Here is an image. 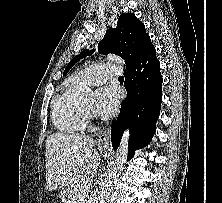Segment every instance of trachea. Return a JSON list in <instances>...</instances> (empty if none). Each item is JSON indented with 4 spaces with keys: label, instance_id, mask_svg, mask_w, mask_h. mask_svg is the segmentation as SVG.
I'll return each instance as SVG.
<instances>
[{
    "label": "trachea",
    "instance_id": "obj_1",
    "mask_svg": "<svg viewBox=\"0 0 222 203\" xmlns=\"http://www.w3.org/2000/svg\"><path fill=\"white\" fill-rule=\"evenodd\" d=\"M118 79L122 80V79H124V78H123V76H119V78H118Z\"/></svg>",
    "mask_w": 222,
    "mask_h": 203
}]
</instances>
